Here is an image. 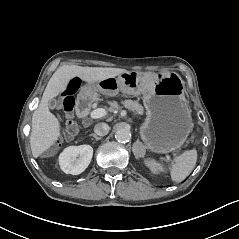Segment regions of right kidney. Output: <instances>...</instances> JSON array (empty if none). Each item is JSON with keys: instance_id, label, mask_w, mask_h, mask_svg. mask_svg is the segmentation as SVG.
<instances>
[{"instance_id": "obj_1", "label": "right kidney", "mask_w": 239, "mask_h": 239, "mask_svg": "<svg viewBox=\"0 0 239 239\" xmlns=\"http://www.w3.org/2000/svg\"><path fill=\"white\" fill-rule=\"evenodd\" d=\"M93 149L89 145L68 147L59 157L61 169L67 174L78 175L89 165Z\"/></svg>"}]
</instances>
